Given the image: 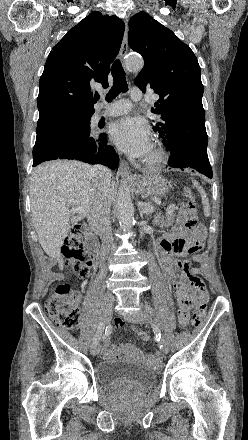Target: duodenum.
<instances>
[{"mask_svg":"<svg viewBox=\"0 0 248 440\" xmlns=\"http://www.w3.org/2000/svg\"><path fill=\"white\" fill-rule=\"evenodd\" d=\"M87 246L92 250L94 254L98 253V245L94 235L91 232L86 233Z\"/></svg>","mask_w":248,"mask_h":440,"instance_id":"410a0bca","label":"duodenum"}]
</instances>
